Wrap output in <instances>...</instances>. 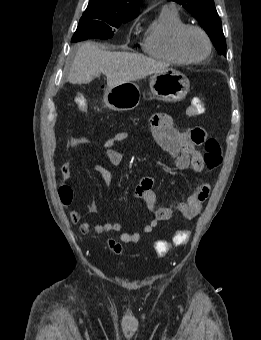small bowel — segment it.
I'll list each match as a JSON object with an SVG mask.
<instances>
[{"label": "small bowel", "instance_id": "small-bowel-1", "mask_svg": "<svg viewBox=\"0 0 261 340\" xmlns=\"http://www.w3.org/2000/svg\"><path fill=\"white\" fill-rule=\"evenodd\" d=\"M155 141V143L169 154L171 160L178 170L192 168L193 171L201 173L206 169L204 158L197 146L201 145L206 139V131L203 128L194 127L186 130H179L174 126L173 119L170 115L160 113L151 119L145 127ZM128 131L118 132L108 137L103 143V149L111 165L118 166L122 162V154L114 149L117 143L126 140L129 137ZM92 141L84 136L73 137L69 141L70 148H76L81 145H90ZM93 169L101 176L104 185L109 188L112 183V173L106 167L99 163L93 165ZM62 177L65 180L71 179L70 162H65L61 168ZM210 193V185L207 182H199L193 193L186 201H178L171 207L156 208L157 196L154 191V180L150 176H144L139 181L135 195L142 199L148 210L154 213L152 219L143 228L144 233H151L159 222L168 221L172 218L175 211L180 212L186 219L195 218L202 210L203 204ZM72 223H78L82 220V214L74 210L70 213ZM94 230L96 233L121 232L123 225L119 222L96 223L90 220H84L80 223L79 231L86 235ZM141 238L138 232H122L120 240L123 243H137Z\"/></svg>", "mask_w": 261, "mask_h": 340}]
</instances>
